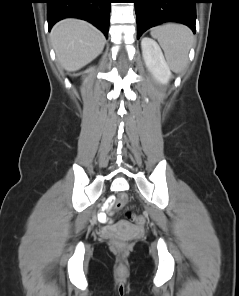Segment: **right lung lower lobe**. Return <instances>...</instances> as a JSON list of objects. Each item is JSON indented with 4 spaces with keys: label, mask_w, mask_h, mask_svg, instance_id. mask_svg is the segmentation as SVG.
Returning <instances> with one entry per match:
<instances>
[{
    "label": "right lung lower lobe",
    "mask_w": 239,
    "mask_h": 296,
    "mask_svg": "<svg viewBox=\"0 0 239 296\" xmlns=\"http://www.w3.org/2000/svg\"><path fill=\"white\" fill-rule=\"evenodd\" d=\"M49 30L64 18H80L99 28L108 37L111 0H46Z\"/></svg>",
    "instance_id": "1"
}]
</instances>
